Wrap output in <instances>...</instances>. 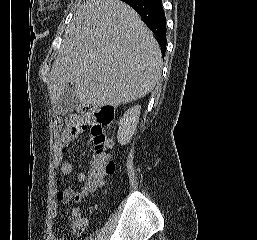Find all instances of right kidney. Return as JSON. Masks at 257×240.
<instances>
[{"instance_id": "ca27d5eb", "label": "right kidney", "mask_w": 257, "mask_h": 240, "mask_svg": "<svg viewBox=\"0 0 257 240\" xmlns=\"http://www.w3.org/2000/svg\"><path fill=\"white\" fill-rule=\"evenodd\" d=\"M141 106L136 105L126 111L118 123L117 139L121 145L130 142L139 122Z\"/></svg>"}]
</instances>
